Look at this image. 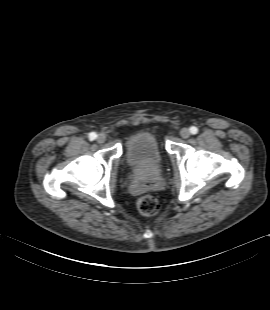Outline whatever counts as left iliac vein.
Segmentation results:
<instances>
[{"label": "left iliac vein", "mask_w": 270, "mask_h": 310, "mask_svg": "<svg viewBox=\"0 0 270 310\" xmlns=\"http://www.w3.org/2000/svg\"><path fill=\"white\" fill-rule=\"evenodd\" d=\"M190 135H191V133H190V130H189L188 128H183V129H181V131H180V136H181L183 139L189 138Z\"/></svg>", "instance_id": "1"}]
</instances>
